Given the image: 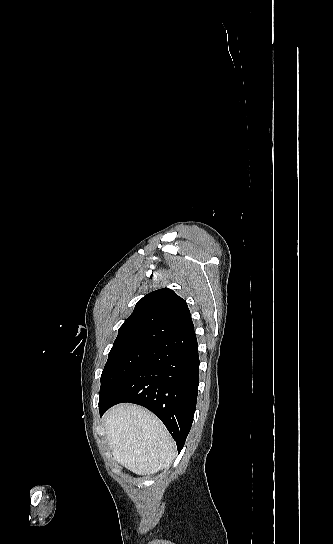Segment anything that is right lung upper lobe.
<instances>
[{"instance_id":"cb5924a9","label":"right lung upper lobe","mask_w":333,"mask_h":544,"mask_svg":"<svg viewBox=\"0 0 333 544\" xmlns=\"http://www.w3.org/2000/svg\"><path fill=\"white\" fill-rule=\"evenodd\" d=\"M193 329L186 302L173 290L163 288L137 302L133 313L119 328L112 349L153 346Z\"/></svg>"}]
</instances>
